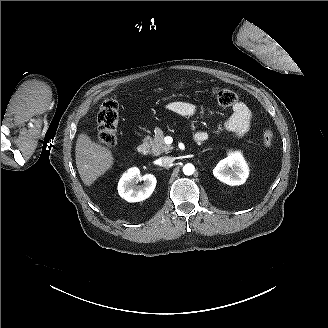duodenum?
<instances>
[{"label": "duodenum", "instance_id": "1", "mask_svg": "<svg viewBox=\"0 0 328 328\" xmlns=\"http://www.w3.org/2000/svg\"><path fill=\"white\" fill-rule=\"evenodd\" d=\"M194 140L195 142L197 143H201L203 141L206 140V135L203 134V133H197L195 136H194ZM137 151L139 154L141 155H146L149 151V145L147 142H142L138 145L137 147Z\"/></svg>", "mask_w": 328, "mask_h": 328}]
</instances>
